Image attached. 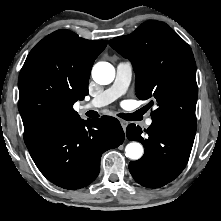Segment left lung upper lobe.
Wrapping results in <instances>:
<instances>
[{"instance_id":"1","label":"left lung upper lobe","mask_w":221,"mask_h":221,"mask_svg":"<svg viewBox=\"0 0 221 221\" xmlns=\"http://www.w3.org/2000/svg\"><path fill=\"white\" fill-rule=\"evenodd\" d=\"M109 44L132 62L137 97L154 99L152 118L196 129V65L190 46L177 33L153 20Z\"/></svg>"}]
</instances>
